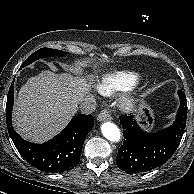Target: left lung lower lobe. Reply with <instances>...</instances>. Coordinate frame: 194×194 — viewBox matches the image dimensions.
Listing matches in <instances>:
<instances>
[{
	"label": "left lung lower lobe",
	"mask_w": 194,
	"mask_h": 194,
	"mask_svg": "<svg viewBox=\"0 0 194 194\" xmlns=\"http://www.w3.org/2000/svg\"><path fill=\"white\" fill-rule=\"evenodd\" d=\"M180 107L176 121L156 133L144 131L131 114L120 117L125 141L118 151L117 166L128 173L149 171L164 164L176 151L184 134L187 118L185 94L178 91Z\"/></svg>",
	"instance_id": "0a47b994"
}]
</instances>
